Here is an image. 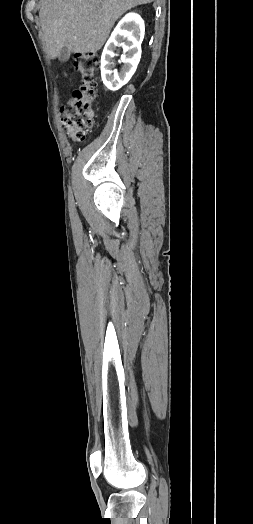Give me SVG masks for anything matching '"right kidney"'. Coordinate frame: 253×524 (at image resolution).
I'll return each instance as SVG.
<instances>
[{
    "instance_id": "right-kidney-1",
    "label": "right kidney",
    "mask_w": 253,
    "mask_h": 524,
    "mask_svg": "<svg viewBox=\"0 0 253 524\" xmlns=\"http://www.w3.org/2000/svg\"><path fill=\"white\" fill-rule=\"evenodd\" d=\"M144 33V21L135 13L125 15L112 32L101 56V77L109 90L120 89L135 73L141 58V43ZM117 47H122L124 52L121 56L124 65L119 73L112 70L113 58L116 55L114 51Z\"/></svg>"
}]
</instances>
